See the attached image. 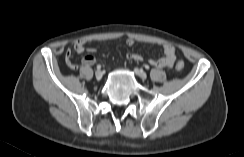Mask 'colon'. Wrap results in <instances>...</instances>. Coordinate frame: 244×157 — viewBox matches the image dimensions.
I'll return each mask as SVG.
<instances>
[{
  "instance_id": "1",
  "label": "colon",
  "mask_w": 244,
  "mask_h": 157,
  "mask_svg": "<svg viewBox=\"0 0 244 157\" xmlns=\"http://www.w3.org/2000/svg\"><path fill=\"white\" fill-rule=\"evenodd\" d=\"M175 68H176L177 70H182V69L184 68V62H182V61H178V62L176 63V65H175Z\"/></svg>"
}]
</instances>
